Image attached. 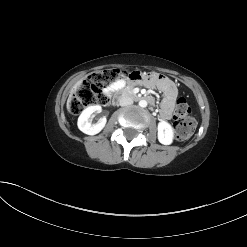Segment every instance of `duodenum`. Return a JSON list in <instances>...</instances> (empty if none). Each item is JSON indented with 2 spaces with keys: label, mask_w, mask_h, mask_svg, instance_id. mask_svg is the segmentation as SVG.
<instances>
[{
  "label": "duodenum",
  "mask_w": 247,
  "mask_h": 247,
  "mask_svg": "<svg viewBox=\"0 0 247 247\" xmlns=\"http://www.w3.org/2000/svg\"><path fill=\"white\" fill-rule=\"evenodd\" d=\"M132 100H135L136 102L138 101V100H145V101H147L148 103H153V98L151 97V96H149V95H133V94H131L129 91L126 93ZM115 96H114V100H112V105H113V107H118V103H119V99H120V97H122V92H115V94H114Z\"/></svg>",
  "instance_id": "1"
}]
</instances>
